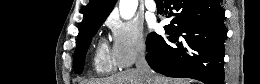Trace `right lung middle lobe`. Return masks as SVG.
I'll use <instances>...</instances> for the list:
<instances>
[{
    "mask_svg": "<svg viewBox=\"0 0 260 84\" xmlns=\"http://www.w3.org/2000/svg\"><path fill=\"white\" fill-rule=\"evenodd\" d=\"M105 20L98 21L89 26L77 37L76 49L74 54V71L76 73H82L85 61V54L90 45L92 37L96 34L99 27ZM148 39V37H147ZM148 41H146L147 44Z\"/></svg>",
    "mask_w": 260,
    "mask_h": 84,
    "instance_id": "obj_1",
    "label": "right lung middle lobe"
}]
</instances>
